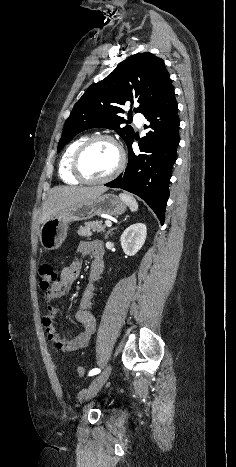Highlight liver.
I'll return each mask as SVG.
<instances>
[{"label": "liver", "instance_id": "1", "mask_svg": "<svg viewBox=\"0 0 236 467\" xmlns=\"http://www.w3.org/2000/svg\"><path fill=\"white\" fill-rule=\"evenodd\" d=\"M106 187H55L50 191V194L43 204L42 215L40 222L44 224L52 215L56 214L63 208L68 206L89 202L104 192Z\"/></svg>", "mask_w": 236, "mask_h": 467}]
</instances>
